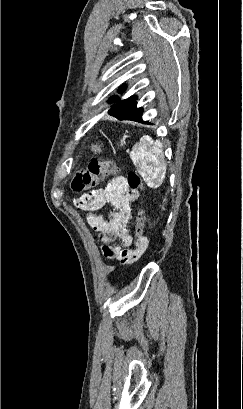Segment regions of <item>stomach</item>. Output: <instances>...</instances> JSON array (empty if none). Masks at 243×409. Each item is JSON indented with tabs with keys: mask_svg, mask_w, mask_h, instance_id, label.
<instances>
[{
	"mask_svg": "<svg viewBox=\"0 0 243 409\" xmlns=\"http://www.w3.org/2000/svg\"><path fill=\"white\" fill-rule=\"evenodd\" d=\"M124 144H125V139H122L121 140V146H123ZM92 151H94L95 153L101 152L100 146L92 145Z\"/></svg>",
	"mask_w": 243,
	"mask_h": 409,
	"instance_id": "1",
	"label": "stomach"
}]
</instances>
